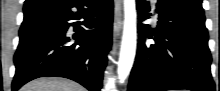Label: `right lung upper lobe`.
<instances>
[{"mask_svg": "<svg viewBox=\"0 0 220 91\" xmlns=\"http://www.w3.org/2000/svg\"><path fill=\"white\" fill-rule=\"evenodd\" d=\"M38 1V3L32 7H29V6H25L24 7V10L26 9H30V8H33V7H37V6H40V5H44V4H48V3H52L54 2L55 0H36Z\"/></svg>", "mask_w": 220, "mask_h": 91, "instance_id": "obj_1", "label": "right lung upper lobe"}]
</instances>
